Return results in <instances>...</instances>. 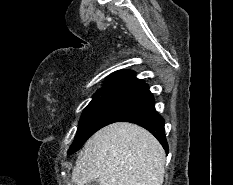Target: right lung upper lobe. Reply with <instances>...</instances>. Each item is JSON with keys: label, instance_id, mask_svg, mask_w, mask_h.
<instances>
[{"label": "right lung upper lobe", "instance_id": "cb5924a9", "mask_svg": "<svg viewBox=\"0 0 233 185\" xmlns=\"http://www.w3.org/2000/svg\"><path fill=\"white\" fill-rule=\"evenodd\" d=\"M144 84L143 80L135 77L134 72L117 71L112 73L106 84L99 90H127L131 91L140 85Z\"/></svg>", "mask_w": 233, "mask_h": 185}]
</instances>
